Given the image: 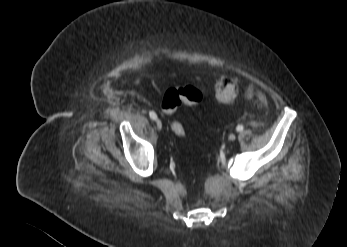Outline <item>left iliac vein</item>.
Masks as SVG:
<instances>
[{"mask_svg":"<svg viewBox=\"0 0 347 247\" xmlns=\"http://www.w3.org/2000/svg\"><path fill=\"white\" fill-rule=\"evenodd\" d=\"M235 139H236L235 134H230V135H229V140H230V141H234Z\"/></svg>","mask_w":347,"mask_h":247,"instance_id":"left-iliac-vein-1","label":"left iliac vein"}]
</instances>
